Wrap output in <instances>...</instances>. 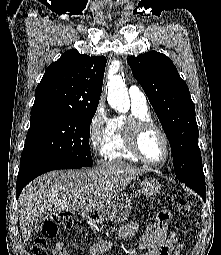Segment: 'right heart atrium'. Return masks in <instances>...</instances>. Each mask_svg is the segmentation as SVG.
<instances>
[{
  "label": "right heart atrium",
  "instance_id": "d8ad5b80",
  "mask_svg": "<svg viewBox=\"0 0 221 255\" xmlns=\"http://www.w3.org/2000/svg\"><path fill=\"white\" fill-rule=\"evenodd\" d=\"M111 118L103 104H99L93 113L88 127V141L94 152H100L109 131Z\"/></svg>",
  "mask_w": 221,
  "mask_h": 255
}]
</instances>
